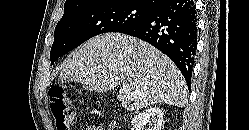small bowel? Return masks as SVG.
I'll return each mask as SVG.
<instances>
[{"label":"small bowel","instance_id":"c3829d8e","mask_svg":"<svg viewBox=\"0 0 249 130\" xmlns=\"http://www.w3.org/2000/svg\"><path fill=\"white\" fill-rule=\"evenodd\" d=\"M82 130H104V128L100 125L88 124L84 126Z\"/></svg>","mask_w":249,"mask_h":130}]
</instances>
